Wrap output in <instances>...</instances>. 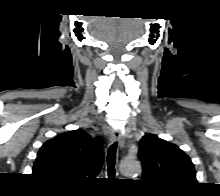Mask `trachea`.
<instances>
[{
    "mask_svg": "<svg viewBox=\"0 0 220 196\" xmlns=\"http://www.w3.org/2000/svg\"><path fill=\"white\" fill-rule=\"evenodd\" d=\"M117 142H114L108 149L107 154V172L109 178L115 176V161H116Z\"/></svg>",
    "mask_w": 220,
    "mask_h": 196,
    "instance_id": "obj_1",
    "label": "trachea"
}]
</instances>
